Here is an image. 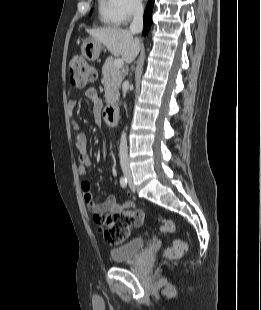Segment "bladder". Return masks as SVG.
Returning a JSON list of instances; mask_svg holds the SVG:
<instances>
[{
    "instance_id": "31cf9c89",
    "label": "bladder",
    "mask_w": 261,
    "mask_h": 310,
    "mask_svg": "<svg viewBox=\"0 0 261 310\" xmlns=\"http://www.w3.org/2000/svg\"><path fill=\"white\" fill-rule=\"evenodd\" d=\"M145 241L141 237L131 238L124 243L110 249V257L116 263L133 259L144 248Z\"/></svg>"
}]
</instances>
